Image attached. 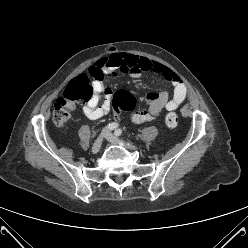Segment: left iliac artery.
Instances as JSON below:
<instances>
[{"label":"left iliac artery","mask_w":248,"mask_h":248,"mask_svg":"<svg viewBox=\"0 0 248 248\" xmlns=\"http://www.w3.org/2000/svg\"><path fill=\"white\" fill-rule=\"evenodd\" d=\"M121 133H122V130H121V129H117V130L114 132V134H115L116 136H120Z\"/></svg>","instance_id":"obj_1"}]
</instances>
